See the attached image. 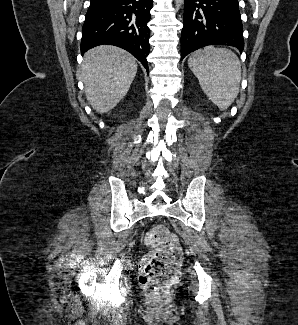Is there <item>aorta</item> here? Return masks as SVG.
I'll list each match as a JSON object with an SVG mask.
<instances>
[{
	"label": "aorta",
	"instance_id": "obj_1",
	"mask_svg": "<svg viewBox=\"0 0 298 325\" xmlns=\"http://www.w3.org/2000/svg\"><path fill=\"white\" fill-rule=\"evenodd\" d=\"M176 4H182V2H184V0H175Z\"/></svg>",
	"mask_w": 298,
	"mask_h": 325
}]
</instances>
